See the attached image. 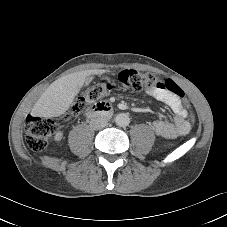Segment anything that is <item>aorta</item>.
I'll use <instances>...</instances> for the list:
<instances>
[{"instance_id":"obj_1","label":"aorta","mask_w":227,"mask_h":227,"mask_svg":"<svg viewBox=\"0 0 227 227\" xmlns=\"http://www.w3.org/2000/svg\"><path fill=\"white\" fill-rule=\"evenodd\" d=\"M115 122L120 127H126L130 123V118L126 113H120L116 116Z\"/></svg>"}]
</instances>
